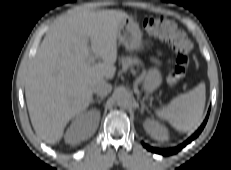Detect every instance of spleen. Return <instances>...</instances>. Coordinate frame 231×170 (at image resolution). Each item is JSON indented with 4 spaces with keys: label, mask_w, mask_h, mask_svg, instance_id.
Listing matches in <instances>:
<instances>
[{
    "label": "spleen",
    "mask_w": 231,
    "mask_h": 170,
    "mask_svg": "<svg viewBox=\"0 0 231 170\" xmlns=\"http://www.w3.org/2000/svg\"><path fill=\"white\" fill-rule=\"evenodd\" d=\"M205 106V85L199 84L188 93L174 98L165 108L156 114L178 131L187 132L196 129L201 121Z\"/></svg>",
    "instance_id": "1"
}]
</instances>
